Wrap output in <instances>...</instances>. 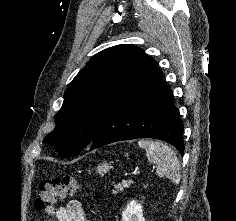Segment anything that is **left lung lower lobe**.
Instances as JSON below:
<instances>
[{"instance_id":"1","label":"left lung lower lobe","mask_w":236,"mask_h":221,"mask_svg":"<svg viewBox=\"0 0 236 221\" xmlns=\"http://www.w3.org/2000/svg\"><path fill=\"white\" fill-rule=\"evenodd\" d=\"M173 99V92L162 81V71L156 67L110 113L91 142L90 150L122 140L155 138L170 143L183 155L184 125Z\"/></svg>"}]
</instances>
